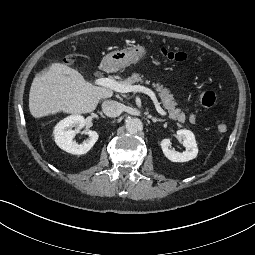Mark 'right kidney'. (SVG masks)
Returning <instances> with one entry per match:
<instances>
[{
	"mask_svg": "<svg viewBox=\"0 0 255 255\" xmlns=\"http://www.w3.org/2000/svg\"><path fill=\"white\" fill-rule=\"evenodd\" d=\"M86 125L85 119L80 115L69 116L61 120L54 128L55 142L62 150L74 154H86L98 140V133L86 131L88 138L80 145L73 141L75 135ZM75 127V130L72 128Z\"/></svg>",
	"mask_w": 255,
	"mask_h": 255,
	"instance_id": "right-kidney-1",
	"label": "right kidney"
}]
</instances>
